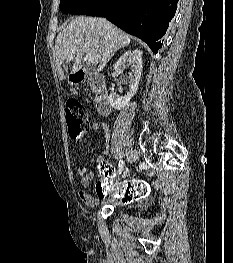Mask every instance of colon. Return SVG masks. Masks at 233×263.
Here are the masks:
<instances>
[{
    "mask_svg": "<svg viewBox=\"0 0 233 263\" xmlns=\"http://www.w3.org/2000/svg\"><path fill=\"white\" fill-rule=\"evenodd\" d=\"M66 122L70 137L79 142L88 131V115L86 109L76 100H70L66 104ZM100 182L94 187L95 195H119L124 208H134L131 199H150L149 182H143L142 178H127V186L123 190H109L112 180L115 179L113 171H98ZM146 193V194H144ZM141 206L140 204L138 205Z\"/></svg>",
    "mask_w": 233,
    "mask_h": 263,
    "instance_id": "1",
    "label": "colon"
}]
</instances>
